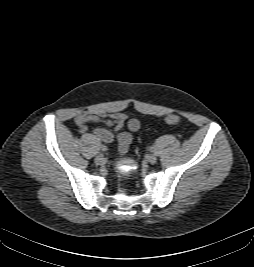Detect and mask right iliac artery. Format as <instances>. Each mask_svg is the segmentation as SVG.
I'll use <instances>...</instances> for the list:
<instances>
[{"label":"right iliac artery","mask_w":254,"mask_h":267,"mask_svg":"<svg viewBox=\"0 0 254 267\" xmlns=\"http://www.w3.org/2000/svg\"><path fill=\"white\" fill-rule=\"evenodd\" d=\"M100 148H101L102 151H107L108 150L107 146H104V145H102Z\"/></svg>","instance_id":"1"}]
</instances>
